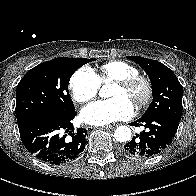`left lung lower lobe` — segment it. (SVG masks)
<instances>
[{
  "label": "left lung lower lobe",
  "mask_w": 196,
  "mask_h": 196,
  "mask_svg": "<svg viewBox=\"0 0 196 196\" xmlns=\"http://www.w3.org/2000/svg\"><path fill=\"white\" fill-rule=\"evenodd\" d=\"M130 125L145 129L124 146L123 152L132 157L147 158L159 154L171 144L179 123L163 115H153L142 116Z\"/></svg>",
  "instance_id": "obj_1"
}]
</instances>
